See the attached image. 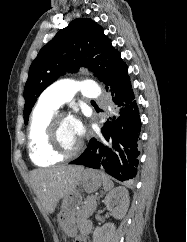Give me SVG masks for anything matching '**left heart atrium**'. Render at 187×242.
Instances as JSON below:
<instances>
[{"mask_svg":"<svg viewBox=\"0 0 187 242\" xmlns=\"http://www.w3.org/2000/svg\"><path fill=\"white\" fill-rule=\"evenodd\" d=\"M70 121H71L72 127L74 129V132L76 133L78 138H80L84 133V128H83L81 121L76 117L70 118Z\"/></svg>","mask_w":187,"mask_h":242,"instance_id":"obj_1","label":"left heart atrium"}]
</instances>
